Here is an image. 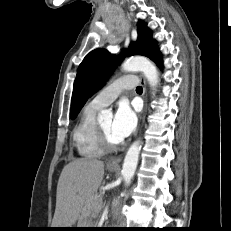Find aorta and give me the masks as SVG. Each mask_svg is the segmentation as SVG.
<instances>
[{
	"instance_id": "762f6f07",
	"label": "aorta",
	"mask_w": 231,
	"mask_h": 231,
	"mask_svg": "<svg viewBox=\"0 0 231 231\" xmlns=\"http://www.w3.org/2000/svg\"><path fill=\"white\" fill-rule=\"evenodd\" d=\"M122 68L128 72L141 71L149 82L150 87H152L153 89L158 84V71L155 65L145 57L130 58L124 61V63L122 64ZM111 116L112 113L108 110L102 111L99 114L100 119ZM140 150L141 141L136 140L132 143L126 153L122 166V175L126 185H129L131 183V179L134 176L138 164Z\"/></svg>"
}]
</instances>
